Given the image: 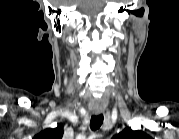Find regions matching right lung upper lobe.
Segmentation results:
<instances>
[{
    "mask_svg": "<svg viewBox=\"0 0 179 139\" xmlns=\"http://www.w3.org/2000/svg\"><path fill=\"white\" fill-rule=\"evenodd\" d=\"M63 136V127L58 125L56 128H48L39 134H37L34 139H61Z\"/></svg>",
    "mask_w": 179,
    "mask_h": 139,
    "instance_id": "obj_1",
    "label": "right lung upper lobe"
}]
</instances>
